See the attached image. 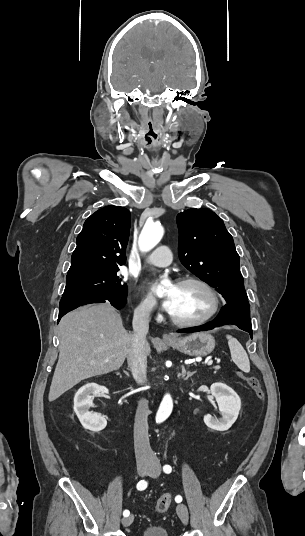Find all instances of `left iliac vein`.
Here are the masks:
<instances>
[{
    "mask_svg": "<svg viewBox=\"0 0 305 536\" xmlns=\"http://www.w3.org/2000/svg\"><path fill=\"white\" fill-rule=\"evenodd\" d=\"M161 472L160 466H154L151 470L148 471V475L152 477H157ZM176 512L178 516L180 517L182 523L187 524L188 523V509L184 504H178L176 507Z\"/></svg>",
    "mask_w": 305,
    "mask_h": 536,
    "instance_id": "obj_1",
    "label": "left iliac vein"
}]
</instances>
